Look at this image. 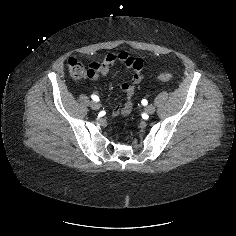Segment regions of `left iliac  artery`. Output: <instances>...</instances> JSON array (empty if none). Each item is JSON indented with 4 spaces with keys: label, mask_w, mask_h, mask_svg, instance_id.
Segmentation results:
<instances>
[{
    "label": "left iliac artery",
    "mask_w": 236,
    "mask_h": 236,
    "mask_svg": "<svg viewBox=\"0 0 236 236\" xmlns=\"http://www.w3.org/2000/svg\"><path fill=\"white\" fill-rule=\"evenodd\" d=\"M142 104H143V105H146V104H147V100L143 99V100H142Z\"/></svg>",
    "instance_id": "1"
}]
</instances>
